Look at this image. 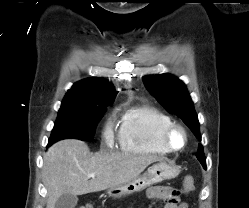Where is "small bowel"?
Wrapping results in <instances>:
<instances>
[{
    "label": "small bowel",
    "mask_w": 249,
    "mask_h": 208,
    "mask_svg": "<svg viewBox=\"0 0 249 208\" xmlns=\"http://www.w3.org/2000/svg\"><path fill=\"white\" fill-rule=\"evenodd\" d=\"M147 194L152 199H163L164 208H187L186 204L180 201L179 193L176 189L169 186H152Z\"/></svg>",
    "instance_id": "obj_1"
}]
</instances>
